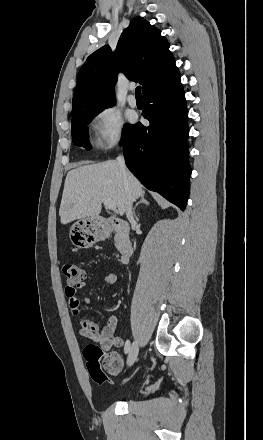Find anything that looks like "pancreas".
<instances>
[{
    "mask_svg": "<svg viewBox=\"0 0 263 440\" xmlns=\"http://www.w3.org/2000/svg\"><path fill=\"white\" fill-rule=\"evenodd\" d=\"M115 245H116V247L118 248L119 245H118V242H117V241H115Z\"/></svg>",
    "mask_w": 263,
    "mask_h": 440,
    "instance_id": "1",
    "label": "pancreas"
}]
</instances>
